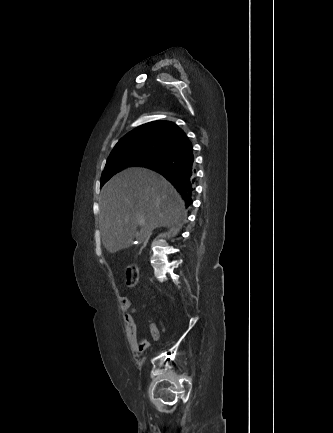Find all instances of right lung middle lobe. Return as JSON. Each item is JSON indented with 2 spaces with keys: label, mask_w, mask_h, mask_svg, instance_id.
<instances>
[{
  "label": "right lung middle lobe",
  "mask_w": 333,
  "mask_h": 433,
  "mask_svg": "<svg viewBox=\"0 0 333 433\" xmlns=\"http://www.w3.org/2000/svg\"><path fill=\"white\" fill-rule=\"evenodd\" d=\"M170 154L160 147L130 146L113 149L102 173L100 187L114 174L130 166H147Z\"/></svg>",
  "instance_id": "obj_1"
}]
</instances>
